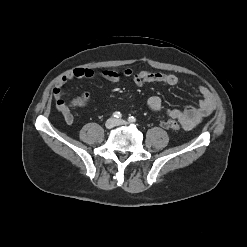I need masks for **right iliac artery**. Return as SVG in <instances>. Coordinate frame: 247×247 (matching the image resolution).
<instances>
[{
	"label": "right iliac artery",
	"instance_id": "1",
	"mask_svg": "<svg viewBox=\"0 0 247 247\" xmlns=\"http://www.w3.org/2000/svg\"><path fill=\"white\" fill-rule=\"evenodd\" d=\"M113 117L119 119L122 117V114L120 112H114Z\"/></svg>",
	"mask_w": 247,
	"mask_h": 247
}]
</instances>
